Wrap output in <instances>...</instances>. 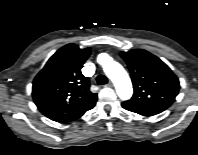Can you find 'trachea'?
<instances>
[{"label": "trachea", "instance_id": "trachea-1", "mask_svg": "<svg viewBox=\"0 0 198 155\" xmlns=\"http://www.w3.org/2000/svg\"><path fill=\"white\" fill-rule=\"evenodd\" d=\"M96 81H97L98 85H104V84H107L108 79L104 75H99V76H97Z\"/></svg>", "mask_w": 198, "mask_h": 155}]
</instances>
